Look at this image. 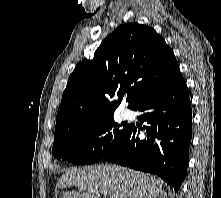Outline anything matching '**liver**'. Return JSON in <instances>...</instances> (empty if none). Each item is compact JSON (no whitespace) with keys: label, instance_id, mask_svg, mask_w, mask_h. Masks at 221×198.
Wrapping results in <instances>:
<instances>
[{"label":"liver","instance_id":"6515ba94","mask_svg":"<svg viewBox=\"0 0 221 198\" xmlns=\"http://www.w3.org/2000/svg\"><path fill=\"white\" fill-rule=\"evenodd\" d=\"M78 187L79 192H66L63 198H165L163 181L151 174L115 165L86 166L71 169L59 179L56 187Z\"/></svg>","mask_w":221,"mask_h":198}]
</instances>
